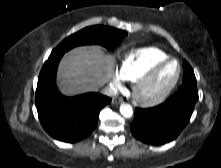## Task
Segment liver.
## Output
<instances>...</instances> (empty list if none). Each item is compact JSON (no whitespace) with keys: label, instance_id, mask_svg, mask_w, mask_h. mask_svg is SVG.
Wrapping results in <instances>:
<instances>
[{"label":"liver","instance_id":"6515ba94","mask_svg":"<svg viewBox=\"0 0 221 168\" xmlns=\"http://www.w3.org/2000/svg\"><path fill=\"white\" fill-rule=\"evenodd\" d=\"M113 58L100 47H77L62 59L59 85L66 95L97 91L112 76Z\"/></svg>","mask_w":221,"mask_h":168}]
</instances>
